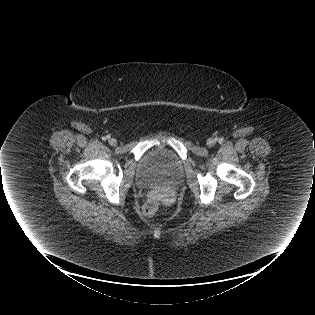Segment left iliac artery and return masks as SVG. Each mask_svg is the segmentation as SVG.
I'll return each mask as SVG.
<instances>
[{
    "label": "left iliac artery",
    "instance_id": "1",
    "mask_svg": "<svg viewBox=\"0 0 315 315\" xmlns=\"http://www.w3.org/2000/svg\"><path fill=\"white\" fill-rule=\"evenodd\" d=\"M220 141L222 142V141H223V139L221 138V139H220Z\"/></svg>",
    "mask_w": 315,
    "mask_h": 315
}]
</instances>
